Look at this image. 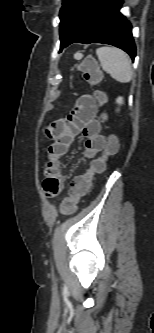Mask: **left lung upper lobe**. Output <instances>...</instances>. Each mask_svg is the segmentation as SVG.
<instances>
[{
	"instance_id": "5c2ea615",
	"label": "left lung upper lobe",
	"mask_w": 154,
	"mask_h": 333,
	"mask_svg": "<svg viewBox=\"0 0 154 333\" xmlns=\"http://www.w3.org/2000/svg\"><path fill=\"white\" fill-rule=\"evenodd\" d=\"M98 0H63L60 10L61 48L77 31L83 17Z\"/></svg>"
}]
</instances>
